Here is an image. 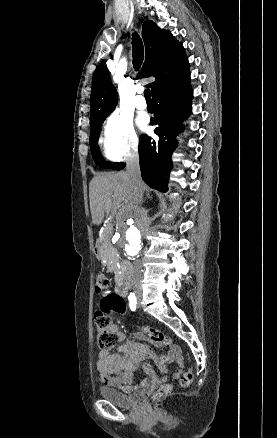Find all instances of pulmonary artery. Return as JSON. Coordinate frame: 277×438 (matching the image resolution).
<instances>
[{"label": "pulmonary artery", "mask_w": 277, "mask_h": 438, "mask_svg": "<svg viewBox=\"0 0 277 438\" xmlns=\"http://www.w3.org/2000/svg\"><path fill=\"white\" fill-rule=\"evenodd\" d=\"M135 106L137 109L143 110L147 107L146 101L144 98H136L135 99Z\"/></svg>", "instance_id": "pulmonary-artery-1"}]
</instances>
